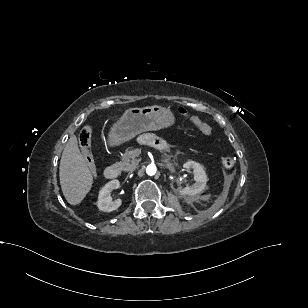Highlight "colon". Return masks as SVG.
<instances>
[{"label": "colon", "instance_id": "5ec220e1", "mask_svg": "<svg viewBox=\"0 0 308 308\" xmlns=\"http://www.w3.org/2000/svg\"><path fill=\"white\" fill-rule=\"evenodd\" d=\"M179 112L184 117L188 118L203 134L211 135L213 132L212 127L202 121L197 116H191L188 114L185 108H179ZM92 137V128L90 126H84L79 133V145L82 151L83 158L92 173H95V162L90 151ZM235 160L232 157H224L222 159V165L226 169H230L234 166Z\"/></svg>", "mask_w": 308, "mask_h": 308}]
</instances>
